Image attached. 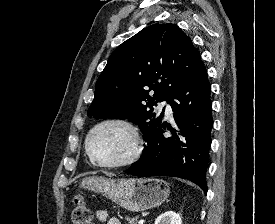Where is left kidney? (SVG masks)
Wrapping results in <instances>:
<instances>
[{
	"label": "left kidney",
	"mask_w": 275,
	"mask_h": 224,
	"mask_svg": "<svg viewBox=\"0 0 275 224\" xmlns=\"http://www.w3.org/2000/svg\"><path fill=\"white\" fill-rule=\"evenodd\" d=\"M154 224H182V219L174 211H166L157 217Z\"/></svg>",
	"instance_id": "left-kidney-1"
}]
</instances>
